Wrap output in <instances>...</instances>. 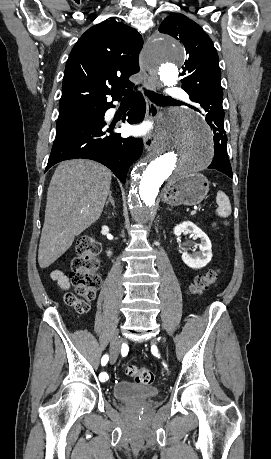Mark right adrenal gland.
<instances>
[{"label":"right adrenal gland","instance_id":"right-adrenal-gland-1","mask_svg":"<svg viewBox=\"0 0 271 459\" xmlns=\"http://www.w3.org/2000/svg\"><path fill=\"white\" fill-rule=\"evenodd\" d=\"M108 204H112L113 208H115V202H114V200H113V198H112L111 192H110V194H109V196H108V200H107V202H106V204H105L106 208H107Z\"/></svg>","mask_w":271,"mask_h":459}]
</instances>
